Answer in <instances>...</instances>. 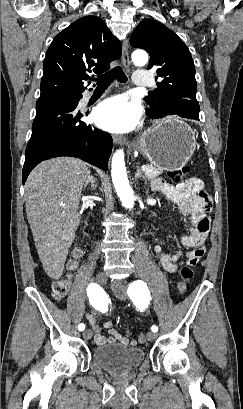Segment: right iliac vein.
<instances>
[{"label":"right iliac vein","instance_id":"right-iliac-vein-1","mask_svg":"<svg viewBox=\"0 0 243 409\" xmlns=\"http://www.w3.org/2000/svg\"><path fill=\"white\" fill-rule=\"evenodd\" d=\"M96 282H97L99 285H104V284H106V282H107V277H106V275H105L104 273H98V275L96 276ZM92 335H93V333H92V331H91L90 329H87V330H85V331L83 332V338L86 339V340L91 339V338H92Z\"/></svg>","mask_w":243,"mask_h":409}]
</instances>
